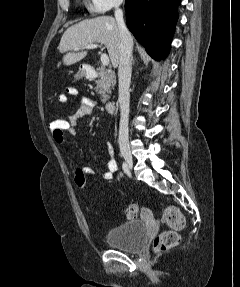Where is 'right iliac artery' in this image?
<instances>
[{
    "mask_svg": "<svg viewBox=\"0 0 240 287\" xmlns=\"http://www.w3.org/2000/svg\"><path fill=\"white\" fill-rule=\"evenodd\" d=\"M122 169H123V171H124L125 173H128V172H129L128 166H127V164H126L125 162L122 164Z\"/></svg>",
    "mask_w": 240,
    "mask_h": 287,
    "instance_id": "obj_1",
    "label": "right iliac artery"
}]
</instances>
